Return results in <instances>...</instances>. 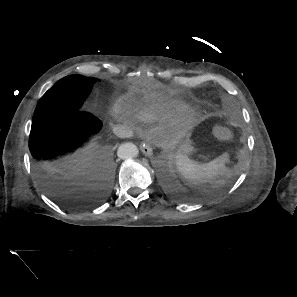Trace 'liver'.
<instances>
[{
  "instance_id": "obj_1",
  "label": "liver",
  "mask_w": 297,
  "mask_h": 297,
  "mask_svg": "<svg viewBox=\"0 0 297 297\" xmlns=\"http://www.w3.org/2000/svg\"><path fill=\"white\" fill-rule=\"evenodd\" d=\"M85 173L79 172L78 170H75L74 172L68 174V178L71 180H76L78 181L80 179V176H84Z\"/></svg>"
}]
</instances>
